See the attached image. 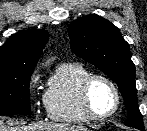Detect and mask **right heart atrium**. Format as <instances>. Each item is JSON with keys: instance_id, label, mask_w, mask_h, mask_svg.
<instances>
[{"instance_id": "d8ad5b80", "label": "right heart atrium", "mask_w": 147, "mask_h": 131, "mask_svg": "<svg viewBox=\"0 0 147 131\" xmlns=\"http://www.w3.org/2000/svg\"><path fill=\"white\" fill-rule=\"evenodd\" d=\"M40 82V76L37 73H34L29 81V90L33 92Z\"/></svg>"}]
</instances>
